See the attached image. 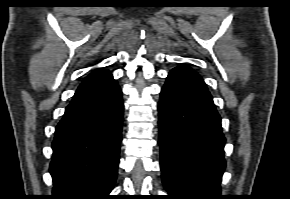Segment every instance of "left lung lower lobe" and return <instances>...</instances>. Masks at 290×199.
Wrapping results in <instances>:
<instances>
[{"label":"left lung lower lobe","instance_id":"left-lung-lower-lobe-1","mask_svg":"<svg viewBox=\"0 0 290 199\" xmlns=\"http://www.w3.org/2000/svg\"><path fill=\"white\" fill-rule=\"evenodd\" d=\"M162 180L177 199H218L225 168L221 118L205 82L186 65L172 69L161 91Z\"/></svg>","mask_w":290,"mask_h":199}]
</instances>
